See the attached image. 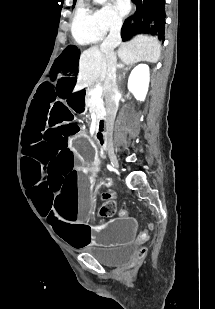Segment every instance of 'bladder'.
Masks as SVG:
<instances>
[{"label": "bladder", "instance_id": "1", "mask_svg": "<svg viewBox=\"0 0 215 309\" xmlns=\"http://www.w3.org/2000/svg\"><path fill=\"white\" fill-rule=\"evenodd\" d=\"M135 256V246L132 244L125 245L113 252L97 255L98 261L111 267L126 265L132 261Z\"/></svg>", "mask_w": 215, "mask_h": 309}]
</instances>
